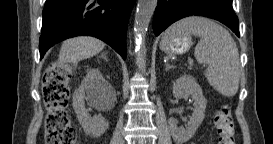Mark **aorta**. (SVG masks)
Listing matches in <instances>:
<instances>
[{"mask_svg": "<svg viewBox=\"0 0 273 144\" xmlns=\"http://www.w3.org/2000/svg\"><path fill=\"white\" fill-rule=\"evenodd\" d=\"M157 6V0H138L134 21V33L136 37V54L141 59L146 56L145 36L149 23ZM144 68V63L142 65Z\"/></svg>", "mask_w": 273, "mask_h": 144, "instance_id": "762f6f07", "label": "aorta"}]
</instances>
